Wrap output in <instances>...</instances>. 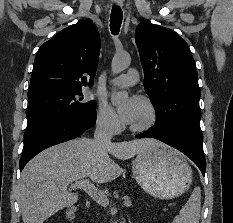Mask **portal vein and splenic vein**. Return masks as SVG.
<instances>
[{
  "label": "portal vein and splenic vein",
  "instance_id": "1",
  "mask_svg": "<svg viewBox=\"0 0 233 223\" xmlns=\"http://www.w3.org/2000/svg\"><path fill=\"white\" fill-rule=\"evenodd\" d=\"M73 187H80V189H88V195L97 201V203H101V205H108L109 199L103 191H99V189H95V185L89 181V179H75L73 183ZM124 206H132V201H124Z\"/></svg>",
  "mask_w": 233,
  "mask_h": 223
}]
</instances>
